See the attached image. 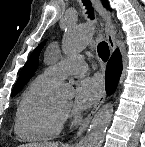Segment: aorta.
<instances>
[{
  "label": "aorta",
  "mask_w": 145,
  "mask_h": 147,
  "mask_svg": "<svg viewBox=\"0 0 145 147\" xmlns=\"http://www.w3.org/2000/svg\"><path fill=\"white\" fill-rule=\"evenodd\" d=\"M93 38V31L89 25L68 26L63 37V50L66 54L72 55L82 51ZM67 86L62 85L57 93L64 95ZM113 105H104L95 114L88 132L84 138L82 147H101L106 130L111 122Z\"/></svg>",
  "instance_id": "obj_1"
}]
</instances>
